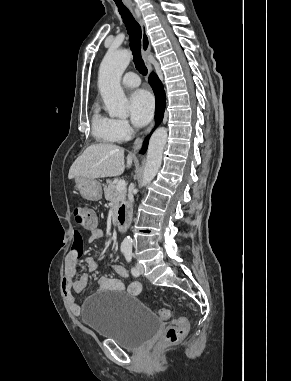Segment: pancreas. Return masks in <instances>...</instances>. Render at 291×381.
Returning a JSON list of instances; mask_svg holds the SVG:
<instances>
[{"label":"pancreas","instance_id":"cf45deb5","mask_svg":"<svg viewBox=\"0 0 291 381\" xmlns=\"http://www.w3.org/2000/svg\"><path fill=\"white\" fill-rule=\"evenodd\" d=\"M107 184L104 186L105 199L107 201H114V216H116V209L121 201L125 200L126 189L117 190L116 184L111 180H107Z\"/></svg>","mask_w":291,"mask_h":381}]
</instances>
